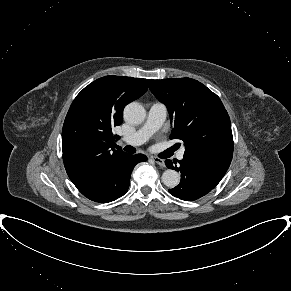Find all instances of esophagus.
I'll list each match as a JSON object with an SVG mask.
<instances>
[{
  "label": "esophagus",
  "instance_id": "esophagus-1",
  "mask_svg": "<svg viewBox=\"0 0 291 291\" xmlns=\"http://www.w3.org/2000/svg\"><path fill=\"white\" fill-rule=\"evenodd\" d=\"M151 159L159 166H164V160L159 157H151Z\"/></svg>",
  "mask_w": 291,
  "mask_h": 291
}]
</instances>
